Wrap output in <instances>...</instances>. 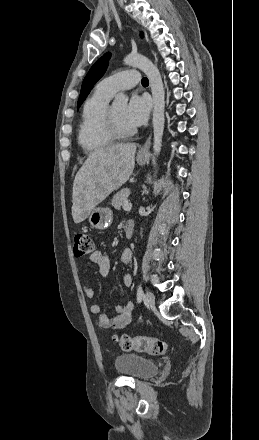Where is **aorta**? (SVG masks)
Instances as JSON below:
<instances>
[{
	"label": "aorta",
	"mask_w": 259,
	"mask_h": 440,
	"mask_svg": "<svg viewBox=\"0 0 259 440\" xmlns=\"http://www.w3.org/2000/svg\"><path fill=\"white\" fill-rule=\"evenodd\" d=\"M124 63L126 65L139 68L142 70L148 80L152 91L153 97V132H154V142L153 151L154 155L158 156L161 151L162 146V136L164 131V87L162 78L157 67L146 57L139 54H129L125 57ZM128 102V97L123 93H119L115 96L113 103L115 105H126Z\"/></svg>",
	"instance_id": "762f6f07"
}]
</instances>
